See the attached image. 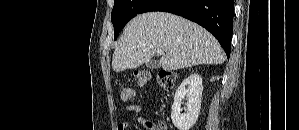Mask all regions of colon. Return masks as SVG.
<instances>
[{
	"instance_id": "colon-1",
	"label": "colon",
	"mask_w": 299,
	"mask_h": 130,
	"mask_svg": "<svg viewBox=\"0 0 299 130\" xmlns=\"http://www.w3.org/2000/svg\"><path fill=\"white\" fill-rule=\"evenodd\" d=\"M133 78L140 87H144L151 81L152 74L149 70H138L134 72ZM175 80L176 74L172 71L163 70L156 75L157 84L166 91L174 88ZM134 93V89L127 84L120 87V97L123 101L131 100ZM154 130H166V128L163 124H159L155 125Z\"/></svg>"
}]
</instances>
